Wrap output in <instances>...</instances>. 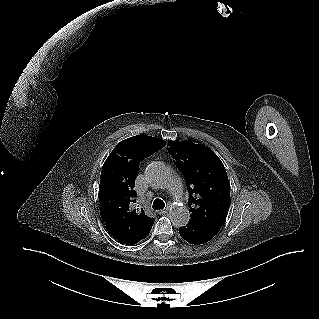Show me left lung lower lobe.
Masks as SVG:
<instances>
[{
  "mask_svg": "<svg viewBox=\"0 0 319 319\" xmlns=\"http://www.w3.org/2000/svg\"><path fill=\"white\" fill-rule=\"evenodd\" d=\"M221 226L220 222L191 218L186 226L179 228V233L187 242L199 245L212 239Z\"/></svg>",
  "mask_w": 319,
  "mask_h": 319,
  "instance_id": "0a47b994",
  "label": "left lung lower lobe"
}]
</instances>
